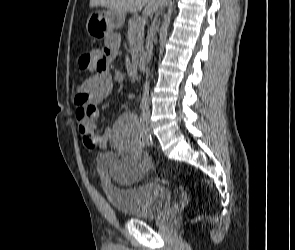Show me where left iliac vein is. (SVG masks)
<instances>
[{"label": "left iliac vein", "mask_w": 295, "mask_h": 250, "mask_svg": "<svg viewBox=\"0 0 295 250\" xmlns=\"http://www.w3.org/2000/svg\"><path fill=\"white\" fill-rule=\"evenodd\" d=\"M150 129H151V127H150V125H148V128H147V130H148V131H150Z\"/></svg>", "instance_id": "4c4485c4"}]
</instances>
